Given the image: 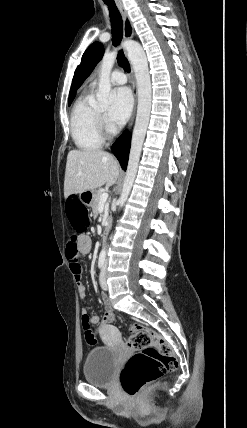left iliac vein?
I'll list each match as a JSON object with an SVG mask.
<instances>
[{
    "label": "left iliac vein",
    "instance_id": "obj_1",
    "mask_svg": "<svg viewBox=\"0 0 247 428\" xmlns=\"http://www.w3.org/2000/svg\"><path fill=\"white\" fill-rule=\"evenodd\" d=\"M106 271H107V263H105L100 273V285L103 290H108V284L106 281Z\"/></svg>",
    "mask_w": 247,
    "mask_h": 428
}]
</instances>
